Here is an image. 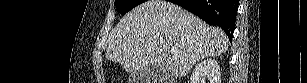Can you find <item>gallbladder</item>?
I'll list each match as a JSON object with an SVG mask.
<instances>
[{"label":"gallbladder","instance_id":"obj_1","mask_svg":"<svg viewBox=\"0 0 307 83\" xmlns=\"http://www.w3.org/2000/svg\"><path fill=\"white\" fill-rule=\"evenodd\" d=\"M170 79V74L167 71H163L162 68L150 67L146 69H141L130 75V81L132 83H166L171 81H166Z\"/></svg>","mask_w":307,"mask_h":83}]
</instances>
